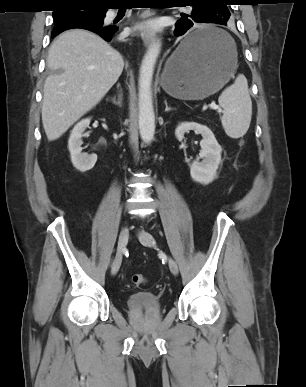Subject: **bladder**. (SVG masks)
Instances as JSON below:
<instances>
[{"instance_id":"obj_1","label":"bladder","mask_w":306,"mask_h":387,"mask_svg":"<svg viewBox=\"0 0 306 387\" xmlns=\"http://www.w3.org/2000/svg\"><path fill=\"white\" fill-rule=\"evenodd\" d=\"M126 305L130 311L138 312H155L161 308L159 298L155 294L146 291L130 294L126 300Z\"/></svg>"}]
</instances>
